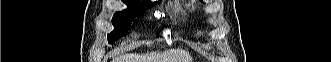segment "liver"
Here are the masks:
<instances>
[{"instance_id":"6515ba94","label":"liver","mask_w":331,"mask_h":62,"mask_svg":"<svg viewBox=\"0 0 331 62\" xmlns=\"http://www.w3.org/2000/svg\"><path fill=\"white\" fill-rule=\"evenodd\" d=\"M191 56L184 50H169L164 53L126 54L113 62H190Z\"/></svg>"}]
</instances>
